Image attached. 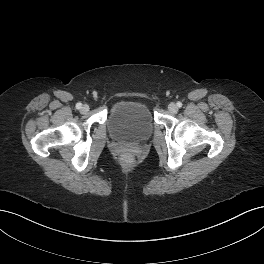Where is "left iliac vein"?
<instances>
[{
    "mask_svg": "<svg viewBox=\"0 0 264 264\" xmlns=\"http://www.w3.org/2000/svg\"><path fill=\"white\" fill-rule=\"evenodd\" d=\"M168 110L171 112V113H176L178 111V107L175 103H170L168 105Z\"/></svg>",
    "mask_w": 264,
    "mask_h": 264,
    "instance_id": "left-iliac-vein-1",
    "label": "left iliac vein"
}]
</instances>
